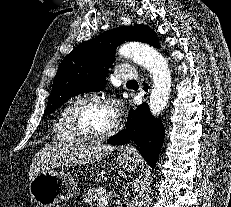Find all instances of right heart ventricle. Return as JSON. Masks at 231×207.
Masks as SVG:
<instances>
[{
	"mask_svg": "<svg viewBox=\"0 0 231 207\" xmlns=\"http://www.w3.org/2000/svg\"><path fill=\"white\" fill-rule=\"evenodd\" d=\"M71 105V103H68L63 106L54 121L53 134L55 140L59 142L71 143L78 140V138L70 131L67 122V113Z\"/></svg>",
	"mask_w": 231,
	"mask_h": 207,
	"instance_id": "obj_1",
	"label": "right heart ventricle"
}]
</instances>
